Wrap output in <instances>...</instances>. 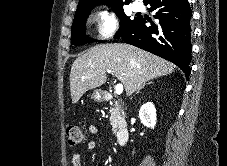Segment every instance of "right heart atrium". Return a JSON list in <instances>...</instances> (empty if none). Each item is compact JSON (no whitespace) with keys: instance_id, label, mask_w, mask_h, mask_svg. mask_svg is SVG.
I'll return each instance as SVG.
<instances>
[{"instance_id":"obj_1","label":"right heart atrium","mask_w":227,"mask_h":166,"mask_svg":"<svg viewBox=\"0 0 227 166\" xmlns=\"http://www.w3.org/2000/svg\"><path fill=\"white\" fill-rule=\"evenodd\" d=\"M92 20L96 26V33L99 39L112 38L119 27L116 14L108 9H99L92 15Z\"/></svg>"}]
</instances>
